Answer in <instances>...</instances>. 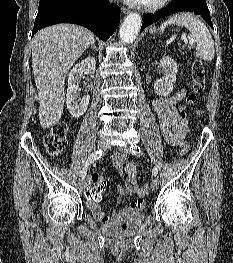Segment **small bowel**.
Wrapping results in <instances>:
<instances>
[{
    "instance_id": "1",
    "label": "small bowel",
    "mask_w": 233,
    "mask_h": 263,
    "mask_svg": "<svg viewBox=\"0 0 233 263\" xmlns=\"http://www.w3.org/2000/svg\"><path fill=\"white\" fill-rule=\"evenodd\" d=\"M186 92L187 88H182L170 97H157L152 101V107L158 117L163 137L169 144L178 147L180 151L187 145L186 137L190 132L187 121H184L180 114L183 109L180 102L185 97ZM112 160L113 166L119 172L125 184L117 187L118 199L122 200L126 196H137L138 199L131 202L127 208L138 210L144 208L143 189L137 183L135 166L126 164V156L121 153L115 154ZM130 165L133 166L132 170L129 169ZM92 176H94L93 171ZM99 176H102V174ZM88 206L93 216L102 223L109 221L115 215L113 214L112 217L107 215L97 202H88Z\"/></svg>"
}]
</instances>
